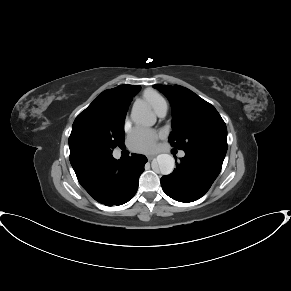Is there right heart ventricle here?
<instances>
[{
    "instance_id": "1",
    "label": "right heart ventricle",
    "mask_w": 291,
    "mask_h": 291,
    "mask_svg": "<svg viewBox=\"0 0 291 291\" xmlns=\"http://www.w3.org/2000/svg\"><path fill=\"white\" fill-rule=\"evenodd\" d=\"M143 97L156 112L166 103L165 99L158 92L152 89L145 90Z\"/></svg>"
}]
</instances>
